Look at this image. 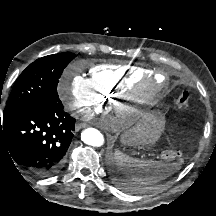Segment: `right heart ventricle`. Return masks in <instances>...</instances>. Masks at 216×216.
Returning <instances> with one entry per match:
<instances>
[{
    "mask_svg": "<svg viewBox=\"0 0 216 216\" xmlns=\"http://www.w3.org/2000/svg\"><path fill=\"white\" fill-rule=\"evenodd\" d=\"M152 74L149 69L124 63L98 64L90 68V80L101 99L126 93Z\"/></svg>",
    "mask_w": 216,
    "mask_h": 216,
    "instance_id": "e07e8e85",
    "label": "right heart ventricle"
}]
</instances>
